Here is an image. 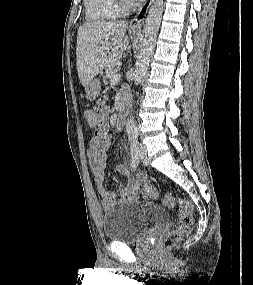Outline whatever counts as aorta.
I'll return each instance as SVG.
<instances>
[{"instance_id": "762f6f07", "label": "aorta", "mask_w": 253, "mask_h": 285, "mask_svg": "<svg viewBox=\"0 0 253 285\" xmlns=\"http://www.w3.org/2000/svg\"><path fill=\"white\" fill-rule=\"evenodd\" d=\"M163 10L164 1L154 0L146 17L134 74L135 85L141 83L153 55ZM126 131L129 135H133L138 132L137 125L133 117L127 119Z\"/></svg>"}]
</instances>
